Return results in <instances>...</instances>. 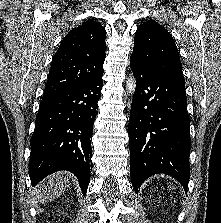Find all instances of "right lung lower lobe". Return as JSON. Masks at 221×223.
<instances>
[{
    "mask_svg": "<svg viewBox=\"0 0 221 223\" xmlns=\"http://www.w3.org/2000/svg\"><path fill=\"white\" fill-rule=\"evenodd\" d=\"M102 75L41 100L30 141L31 184L36 185L53 172L67 170L75 174L86 193L92 170L90 138Z\"/></svg>",
    "mask_w": 221,
    "mask_h": 223,
    "instance_id": "1",
    "label": "right lung lower lobe"
}]
</instances>
